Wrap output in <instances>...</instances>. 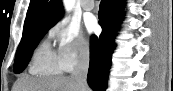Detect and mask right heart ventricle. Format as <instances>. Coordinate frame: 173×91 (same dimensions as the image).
<instances>
[{
    "instance_id": "right-heart-ventricle-1",
    "label": "right heart ventricle",
    "mask_w": 173,
    "mask_h": 91,
    "mask_svg": "<svg viewBox=\"0 0 173 91\" xmlns=\"http://www.w3.org/2000/svg\"><path fill=\"white\" fill-rule=\"evenodd\" d=\"M62 69L56 53L46 43H43L34 53L30 72L34 75H60Z\"/></svg>"
}]
</instances>
